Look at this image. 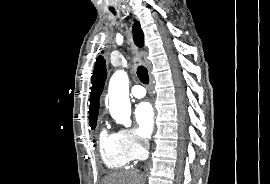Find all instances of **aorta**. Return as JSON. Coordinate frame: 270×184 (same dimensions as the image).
I'll use <instances>...</instances> for the list:
<instances>
[{"label":"aorta","instance_id":"aorta-1","mask_svg":"<svg viewBox=\"0 0 270 184\" xmlns=\"http://www.w3.org/2000/svg\"><path fill=\"white\" fill-rule=\"evenodd\" d=\"M109 111L116 123L131 126V104L129 99V79L124 70H117L109 81Z\"/></svg>","mask_w":270,"mask_h":184}]
</instances>
